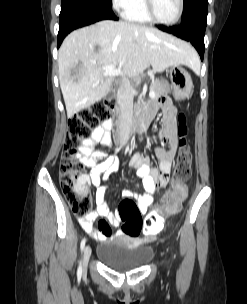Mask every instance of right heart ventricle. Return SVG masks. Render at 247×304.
Wrapping results in <instances>:
<instances>
[{"label":"right heart ventricle","instance_id":"right-heart-ventricle-1","mask_svg":"<svg viewBox=\"0 0 247 304\" xmlns=\"http://www.w3.org/2000/svg\"><path fill=\"white\" fill-rule=\"evenodd\" d=\"M124 17L132 22L150 23L146 13L144 0H136L134 4L124 12Z\"/></svg>","mask_w":247,"mask_h":304}]
</instances>
